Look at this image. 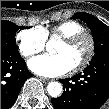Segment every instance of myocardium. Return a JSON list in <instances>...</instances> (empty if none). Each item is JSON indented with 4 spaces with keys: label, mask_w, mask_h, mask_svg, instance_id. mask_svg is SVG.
<instances>
[{
    "label": "myocardium",
    "mask_w": 109,
    "mask_h": 109,
    "mask_svg": "<svg viewBox=\"0 0 109 109\" xmlns=\"http://www.w3.org/2000/svg\"><path fill=\"white\" fill-rule=\"evenodd\" d=\"M81 39H87L88 41V45H89V49H88V53L86 55V57L84 58V60L73 67V69L75 71H79L82 70L84 68H86L92 61L94 54H95V39L94 36L89 33L88 31H81V32H77L71 36H68L66 38H62V42H64L67 45H72L77 43L78 41H80Z\"/></svg>",
    "instance_id": "1"
}]
</instances>
